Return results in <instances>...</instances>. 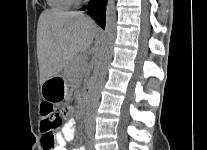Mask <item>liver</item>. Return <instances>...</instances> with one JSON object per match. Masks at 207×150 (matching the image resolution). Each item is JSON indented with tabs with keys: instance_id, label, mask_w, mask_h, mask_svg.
Here are the masks:
<instances>
[{
	"instance_id": "obj_1",
	"label": "liver",
	"mask_w": 207,
	"mask_h": 150,
	"mask_svg": "<svg viewBox=\"0 0 207 150\" xmlns=\"http://www.w3.org/2000/svg\"><path fill=\"white\" fill-rule=\"evenodd\" d=\"M97 36V27L80 12L44 11L37 27L40 84L58 76Z\"/></svg>"
}]
</instances>
